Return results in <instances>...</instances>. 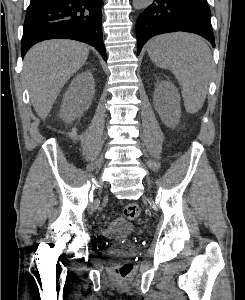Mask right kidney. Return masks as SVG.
Returning a JSON list of instances; mask_svg holds the SVG:
<instances>
[{
	"mask_svg": "<svg viewBox=\"0 0 245 300\" xmlns=\"http://www.w3.org/2000/svg\"><path fill=\"white\" fill-rule=\"evenodd\" d=\"M95 82L90 71H85L76 76L66 90L60 117L65 122H71L88 110L95 93Z\"/></svg>",
	"mask_w": 245,
	"mask_h": 300,
	"instance_id": "obj_1",
	"label": "right kidney"
}]
</instances>
